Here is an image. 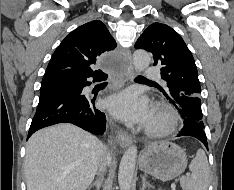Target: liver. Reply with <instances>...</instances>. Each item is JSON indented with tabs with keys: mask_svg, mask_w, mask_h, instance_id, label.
Segmentation results:
<instances>
[{
	"mask_svg": "<svg viewBox=\"0 0 234 190\" xmlns=\"http://www.w3.org/2000/svg\"><path fill=\"white\" fill-rule=\"evenodd\" d=\"M105 151L99 139L72 124L41 129L26 146L27 190H86Z\"/></svg>",
	"mask_w": 234,
	"mask_h": 190,
	"instance_id": "1",
	"label": "liver"
}]
</instances>
